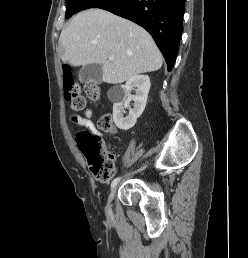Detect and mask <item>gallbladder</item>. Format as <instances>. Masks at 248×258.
<instances>
[{"mask_svg":"<svg viewBox=\"0 0 248 258\" xmlns=\"http://www.w3.org/2000/svg\"><path fill=\"white\" fill-rule=\"evenodd\" d=\"M102 78V65L101 64H87L82 67L79 73V81L81 83H87L90 81H95L97 83L101 82Z\"/></svg>","mask_w":248,"mask_h":258,"instance_id":"1","label":"gallbladder"}]
</instances>
